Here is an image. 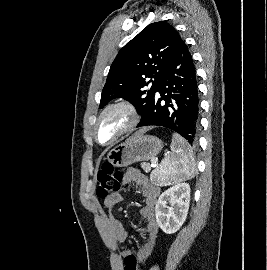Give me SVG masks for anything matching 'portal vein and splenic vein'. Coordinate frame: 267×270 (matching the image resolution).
Returning <instances> with one entry per match:
<instances>
[{
  "label": "portal vein and splenic vein",
  "mask_w": 267,
  "mask_h": 270,
  "mask_svg": "<svg viewBox=\"0 0 267 270\" xmlns=\"http://www.w3.org/2000/svg\"><path fill=\"white\" fill-rule=\"evenodd\" d=\"M157 162H158V159L156 158L151 159V166H155Z\"/></svg>",
  "instance_id": "18ae733b"
}]
</instances>
